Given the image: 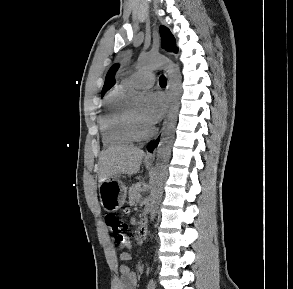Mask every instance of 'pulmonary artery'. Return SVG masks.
Segmentation results:
<instances>
[{"label":"pulmonary artery","instance_id":"obj_1","mask_svg":"<svg viewBox=\"0 0 293 289\" xmlns=\"http://www.w3.org/2000/svg\"><path fill=\"white\" fill-rule=\"evenodd\" d=\"M155 83V76L151 70H144L136 72L133 75L122 81V86L126 89L136 88H149Z\"/></svg>","mask_w":293,"mask_h":289}]
</instances>
